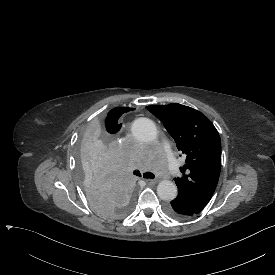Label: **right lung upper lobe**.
<instances>
[{"label": "right lung upper lobe", "instance_id": "obj_1", "mask_svg": "<svg viewBox=\"0 0 275 275\" xmlns=\"http://www.w3.org/2000/svg\"><path fill=\"white\" fill-rule=\"evenodd\" d=\"M131 110H134V108L117 107L112 109L106 118L107 131L111 134L117 133L122 126V124L118 122V119L123 113Z\"/></svg>", "mask_w": 275, "mask_h": 275}]
</instances>
